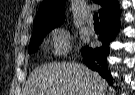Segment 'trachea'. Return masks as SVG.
Here are the masks:
<instances>
[{"label":"trachea","instance_id":"1","mask_svg":"<svg viewBox=\"0 0 135 95\" xmlns=\"http://www.w3.org/2000/svg\"><path fill=\"white\" fill-rule=\"evenodd\" d=\"M93 20H94V26H100V24H99V18H98V14L97 13H95L93 15Z\"/></svg>","mask_w":135,"mask_h":95}]
</instances>
